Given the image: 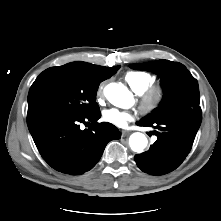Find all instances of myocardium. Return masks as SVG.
<instances>
[{
  "instance_id": "1",
  "label": "myocardium",
  "mask_w": 221,
  "mask_h": 221,
  "mask_svg": "<svg viewBox=\"0 0 221 221\" xmlns=\"http://www.w3.org/2000/svg\"><path fill=\"white\" fill-rule=\"evenodd\" d=\"M165 90L160 85H151L140 94L139 106L144 114H151L162 104Z\"/></svg>"
}]
</instances>
